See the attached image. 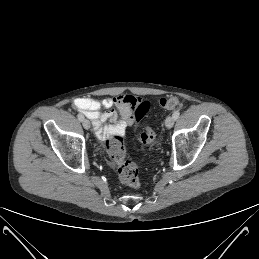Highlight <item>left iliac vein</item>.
Here are the masks:
<instances>
[{
  "instance_id": "obj_1",
  "label": "left iliac vein",
  "mask_w": 259,
  "mask_h": 259,
  "mask_svg": "<svg viewBox=\"0 0 259 259\" xmlns=\"http://www.w3.org/2000/svg\"><path fill=\"white\" fill-rule=\"evenodd\" d=\"M174 121L175 119L173 118V116H168L166 119H165V126L170 129L173 127L174 125Z\"/></svg>"
}]
</instances>
